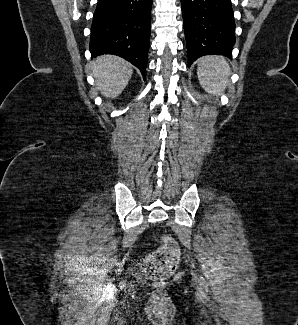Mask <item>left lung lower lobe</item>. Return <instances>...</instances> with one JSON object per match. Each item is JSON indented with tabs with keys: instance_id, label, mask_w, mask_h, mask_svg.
<instances>
[{
	"instance_id": "1",
	"label": "left lung lower lobe",
	"mask_w": 298,
	"mask_h": 325,
	"mask_svg": "<svg viewBox=\"0 0 298 325\" xmlns=\"http://www.w3.org/2000/svg\"><path fill=\"white\" fill-rule=\"evenodd\" d=\"M188 65L209 55L232 57L235 22L231 0H181Z\"/></svg>"
}]
</instances>
